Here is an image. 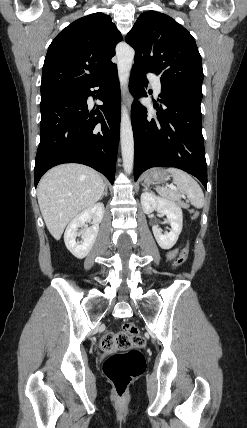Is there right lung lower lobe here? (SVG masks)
Instances as JSON below:
<instances>
[{"label":"right lung lower lobe","instance_id":"right-lung-lower-lobe-1","mask_svg":"<svg viewBox=\"0 0 247 428\" xmlns=\"http://www.w3.org/2000/svg\"><path fill=\"white\" fill-rule=\"evenodd\" d=\"M99 86L104 103L88 111L91 87ZM40 144L34 168L35 186L42 175L62 163H81L104 174L111 184L120 135V90L117 66L78 93L41 98ZM103 113V115H102ZM97 114V117H92Z\"/></svg>","mask_w":247,"mask_h":428}]
</instances>
